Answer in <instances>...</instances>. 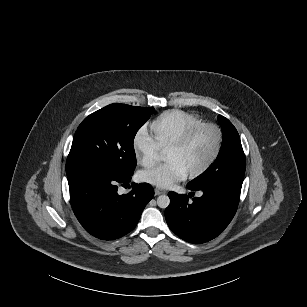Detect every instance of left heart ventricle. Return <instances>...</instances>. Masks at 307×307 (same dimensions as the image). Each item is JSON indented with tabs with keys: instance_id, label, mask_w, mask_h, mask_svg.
I'll use <instances>...</instances> for the list:
<instances>
[{
	"instance_id": "obj_1",
	"label": "left heart ventricle",
	"mask_w": 307,
	"mask_h": 307,
	"mask_svg": "<svg viewBox=\"0 0 307 307\" xmlns=\"http://www.w3.org/2000/svg\"><path fill=\"white\" fill-rule=\"evenodd\" d=\"M217 144V131L206 129L184 149L180 151H166L162 157L167 162L178 164L187 174H190L210 159Z\"/></svg>"
}]
</instances>
